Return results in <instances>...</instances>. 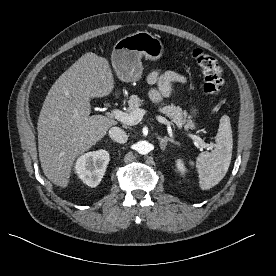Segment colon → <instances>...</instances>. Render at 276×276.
<instances>
[{
	"label": "colon",
	"mask_w": 276,
	"mask_h": 276,
	"mask_svg": "<svg viewBox=\"0 0 276 276\" xmlns=\"http://www.w3.org/2000/svg\"><path fill=\"white\" fill-rule=\"evenodd\" d=\"M191 55L202 71L204 93L211 97H218L224 85L223 72L218 61L201 49L192 50Z\"/></svg>",
	"instance_id": "1"
}]
</instances>
